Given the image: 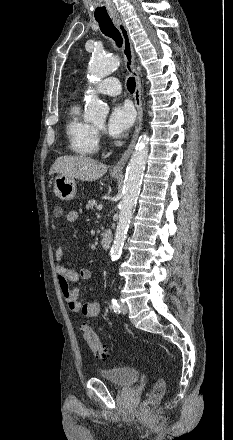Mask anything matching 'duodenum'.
<instances>
[{"label":"duodenum","instance_id":"obj_1","mask_svg":"<svg viewBox=\"0 0 233 440\" xmlns=\"http://www.w3.org/2000/svg\"><path fill=\"white\" fill-rule=\"evenodd\" d=\"M113 239L112 232L109 229H105L101 234V245L103 249H108L111 246Z\"/></svg>","mask_w":233,"mask_h":440}]
</instances>
